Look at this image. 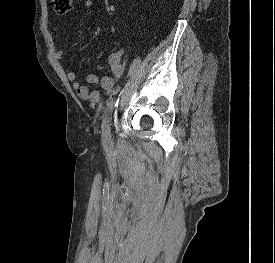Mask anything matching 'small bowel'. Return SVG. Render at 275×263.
I'll return each mask as SVG.
<instances>
[{
    "instance_id": "1",
    "label": "small bowel",
    "mask_w": 275,
    "mask_h": 263,
    "mask_svg": "<svg viewBox=\"0 0 275 263\" xmlns=\"http://www.w3.org/2000/svg\"><path fill=\"white\" fill-rule=\"evenodd\" d=\"M93 7L92 0H83L82 8L91 9ZM123 50L119 49L113 52L109 57V63L111 66V74L99 78L95 74H88L86 76V82L90 84H98L108 94H114L117 91V83L122 78L125 72V66L122 63ZM64 56V50L60 49L56 52L55 58L60 61ZM67 79L72 83L73 88L76 90L80 99L99 102L101 100L100 94L96 90H90L86 84L77 80L76 72L70 70L66 73Z\"/></svg>"
}]
</instances>
